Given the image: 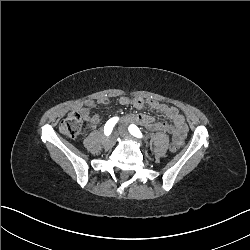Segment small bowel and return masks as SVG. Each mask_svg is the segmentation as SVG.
<instances>
[{"label": "small bowel", "mask_w": 250, "mask_h": 250, "mask_svg": "<svg viewBox=\"0 0 250 250\" xmlns=\"http://www.w3.org/2000/svg\"><path fill=\"white\" fill-rule=\"evenodd\" d=\"M146 102L152 110L163 114L170 120V122L156 121L152 116L141 113L127 114L124 117L125 122L136 123L150 131L172 133V140L176 138L181 145L188 132L184 116L180 114L177 108L171 105L160 103L154 99H147ZM98 103L108 104V100L106 98H102L98 101ZM120 104L123 106L133 104L135 108L141 109L144 106V100L142 98L131 99L123 96L120 98ZM94 107L95 103L93 101H89L84 106L80 107L78 112L81 114L82 118L87 119L89 111ZM90 121L92 123H98L100 121V117L98 115H94L90 118Z\"/></svg>", "instance_id": "obj_1"}]
</instances>
